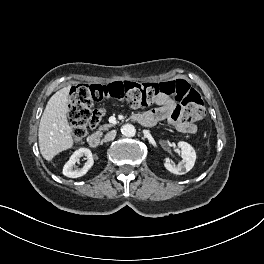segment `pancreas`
<instances>
[{"label": "pancreas", "mask_w": 264, "mask_h": 264, "mask_svg": "<svg viewBox=\"0 0 264 264\" xmlns=\"http://www.w3.org/2000/svg\"><path fill=\"white\" fill-rule=\"evenodd\" d=\"M112 126H113L112 124H105L103 126H100L98 130H99V132H101V131L107 130L108 128H110Z\"/></svg>", "instance_id": "1"}]
</instances>
